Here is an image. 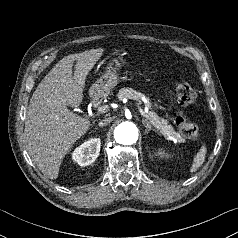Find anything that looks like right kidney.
<instances>
[{"instance_id": "1", "label": "right kidney", "mask_w": 238, "mask_h": 238, "mask_svg": "<svg viewBox=\"0 0 238 238\" xmlns=\"http://www.w3.org/2000/svg\"><path fill=\"white\" fill-rule=\"evenodd\" d=\"M100 147V139L92 138L77 147L72 154V158L80 166H88L99 156Z\"/></svg>"}]
</instances>
